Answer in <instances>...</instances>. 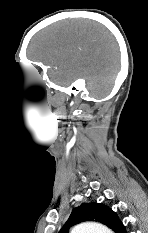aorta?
I'll list each match as a JSON object with an SVG mask.
<instances>
[{
  "mask_svg": "<svg viewBox=\"0 0 148 233\" xmlns=\"http://www.w3.org/2000/svg\"><path fill=\"white\" fill-rule=\"evenodd\" d=\"M70 233H112L106 226L96 222H84L72 228Z\"/></svg>",
  "mask_w": 148,
  "mask_h": 233,
  "instance_id": "aorta-1",
  "label": "aorta"
}]
</instances>
